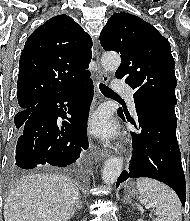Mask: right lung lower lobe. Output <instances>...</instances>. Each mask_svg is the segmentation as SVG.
Returning <instances> with one entry per match:
<instances>
[{
	"instance_id": "obj_1",
	"label": "right lung lower lobe",
	"mask_w": 190,
	"mask_h": 221,
	"mask_svg": "<svg viewBox=\"0 0 190 221\" xmlns=\"http://www.w3.org/2000/svg\"><path fill=\"white\" fill-rule=\"evenodd\" d=\"M92 99L93 82L89 79L39 102L18 131L11 166L32 169L74 163L89 146L86 128ZM65 102L71 118L66 117ZM58 117L66 119L62 126L57 122Z\"/></svg>"
}]
</instances>
